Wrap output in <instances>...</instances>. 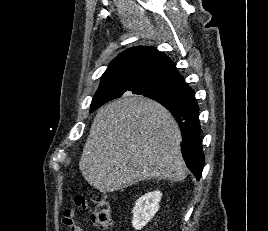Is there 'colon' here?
I'll list each match as a JSON object with an SVG mask.
<instances>
[{
	"mask_svg": "<svg viewBox=\"0 0 268 231\" xmlns=\"http://www.w3.org/2000/svg\"><path fill=\"white\" fill-rule=\"evenodd\" d=\"M94 208L91 212L92 222L102 230H107L112 225L111 205L106 195L98 189H94L90 193Z\"/></svg>",
	"mask_w": 268,
	"mask_h": 231,
	"instance_id": "5ec220e1",
	"label": "colon"
}]
</instances>
